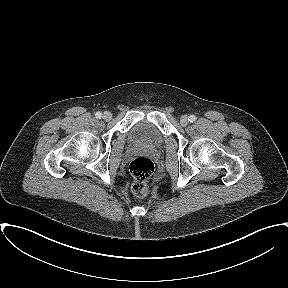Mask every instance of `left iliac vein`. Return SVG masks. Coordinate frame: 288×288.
I'll use <instances>...</instances> for the list:
<instances>
[{
  "label": "left iliac vein",
  "instance_id": "1",
  "mask_svg": "<svg viewBox=\"0 0 288 288\" xmlns=\"http://www.w3.org/2000/svg\"><path fill=\"white\" fill-rule=\"evenodd\" d=\"M189 120H188V117L186 115H183L181 118H180V123L182 126H187Z\"/></svg>",
  "mask_w": 288,
  "mask_h": 288
}]
</instances>
